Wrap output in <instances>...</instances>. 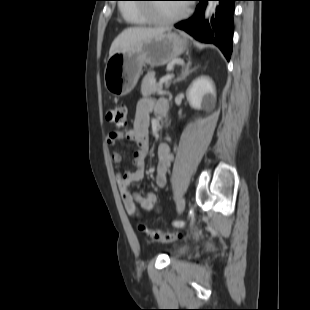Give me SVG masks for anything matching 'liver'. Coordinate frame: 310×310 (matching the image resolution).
Returning a JSON list of instances; mask_svg holds the SVG:
<instances>
[{
    "instance_id": "obj_1",
    "label": "liver",
    "mask_w": 310,
    "mask_h": 310,
    "mask_svg": "<svg viewBox=\"0 0 310 310\" xmlns=\"http://www.w3.org/2000/svg\"><path fill=\"white\" fill-rule=\"evenodd\" d=\"M169 31V28L132 27L122 31L112 42L109 57L117 52H128L152 38Z\"/></svg>"
}]
</instances>
